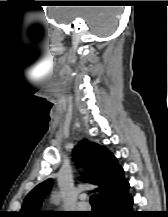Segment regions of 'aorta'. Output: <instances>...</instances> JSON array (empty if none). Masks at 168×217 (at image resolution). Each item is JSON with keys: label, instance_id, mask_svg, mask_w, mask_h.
Wrapping results in <instances>:
<instances>
[{"label": "aorta", "instance_id": "aorta-1", "mask_svg": "<svg viewBox=\"0 0 168 217\" xmlns=\"http://www.w3.org/2000/svg\"><path fill=\"white\" fill-rule=\"evenodd\" d=\"M51 200L53 203L57 204L60 200V195H54Z\"/></svg>", "mask_w": 168, "mask_h": 217}]
</instances>
